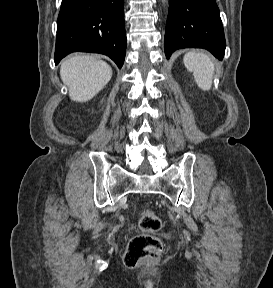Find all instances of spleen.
Instances as JSON below:
<instances>
[{
	"instance_id": "3e777b00",
	"label": "spleen",
	"mask_w": 273,
	"mask_h": 288,
	"mask_svg": "<svg viewBox=\"0 0 273 288\" xmlns=\"http://www.w3.org/2000/svg\"><path fill=\"white\" fill-rule=\"evenodd\" d=\"M183 62L187 70L193 72L198 87L203 91L210 90L214 75L211 57L204 52L191 51L184 55Z\"/></svg>"
}]
</instances>
